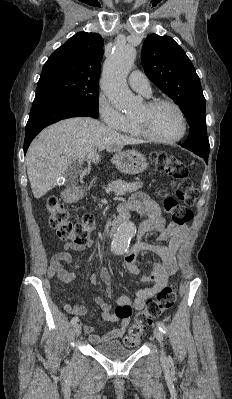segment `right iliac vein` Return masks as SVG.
<instances>
[{
    "label": "right iliac vein",
    "instance_id": "1",
    "mask_svg": "<svg viewBox=\"0 0 232 399\" xmlns=\"http://www.w3.org/2000/svg\"><path fill=\"white\" fill-rule=\"evenodd\" d=\"M73 330H74L75 335H80L81 334L80 324H77L76 326H74Z\"/></svg>",
    "mask_w": 232,
    "mask_h": 399
}]
</instances>
